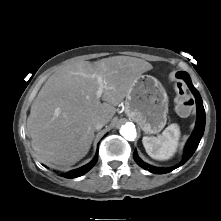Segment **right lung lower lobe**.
Instances as JSON below:
<instances>
[{
  "label": "right lung lower lobe",
  "instance_id": "98d812e1",
  "mask_svg": "<svg viewBox=\"0 0 221 221\" xmlns=\"http://www.w3.org/2000/svg\"><path fill=\"white\" fill-rule=\"evenodd\" d=\"M97 160H98V152H97L95 158L90 163L86 164L85 166H83L81 168H78V169L68 172L66 175H64V177L76 178V177H79V176L85 174L96 164Z\"/></svg>",
  "mask_w": 221,
  "mask_h": 221
}]
</instances>
